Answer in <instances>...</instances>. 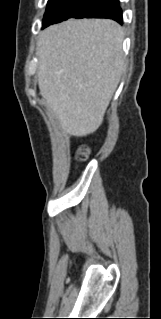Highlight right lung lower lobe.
Here are the masks:
<instances>
[{"label": "right lung lower lobe", "instance_id": "98d812e1", "mask_svg": "<svg viewBox=\"0 0 161 319\" xmlns=\"http://www.w3.org/2000/svg\"><path fill=\"white\" fill-rule=\"evenodd\" d=\"M83 18H108L122 24V9L119 0H100L95 8L84 14Z\"/></svg>", "mask_w": 161, "mask_h": 319}]
</instances>
